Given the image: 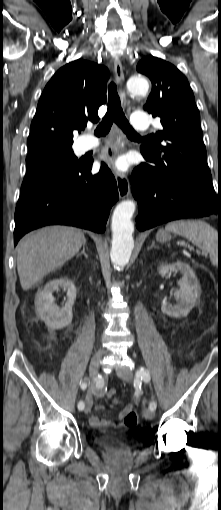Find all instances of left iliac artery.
Returning <instances> with one entry per match:
<instances>
[{"label":"left iliac artery","instance_id":"obj_1","mask_svg":"<svg viewBox=\"0 0 221 510\" xmlns=\"http://www.w3.org/2000/svg\"><path fill=\"white\" fill-rule=\"evenodd\" d=\"M141 381H144V382H149L150 381V373L144 367H141L140 369H138L136 371V374H135V384L140 386L141 385ZM156 407H157V403L156 402H154V401L150 402L149 408L152 411L156 410Z\"/></svg>","mask_w":221,"mask_h":510}]
</instances>
